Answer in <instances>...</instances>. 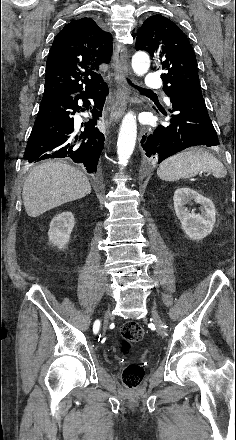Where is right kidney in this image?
<instances>
[{"instance_id":"ca27d5eb","label":"right kidney","mask_w":236,"mask_h":440,"mask_svg":"<svg viewBox=\"0 0 236 440\" xmlns=\"http://www.w3.org/2000/svg\"><path fill=\"white\" fill-rule=\"evenodd\" d=\"M74 225L75 219L71 212L66 211L56 215L50 223L48 232L50 243L63 249L70 240Z\"/></svg>"}]
</instances>
